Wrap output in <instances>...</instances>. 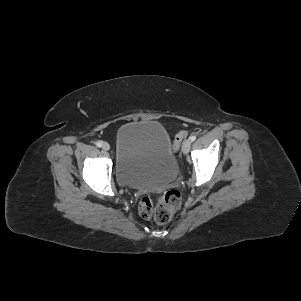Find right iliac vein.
<instances>
[{
  "mask_svg": "<svg viewBox=\"0 0 301 301\" xmlns=\"http://www.w3.org/2000/svg\"><path fill=\"white\" fill-rule=\"evenodd\" d=\"M102 149H103L104 151H108V150L110 149V145H109L107 142H104V143L102 144Z\"/></svg>",
  "mask_w": 301,
  "mask_h": 301,
  "instance_id": "obj_1",
  "label": "right iliac vein"
}]
</instances>
